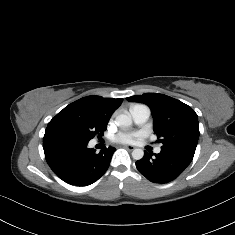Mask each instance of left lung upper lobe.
Wrapping results in <instances>:
<instances>
[{
    "mask_svg": "<svg viewBox=\"0 0 235 235\" xmlns=\"http://www.w3.org/2000/svg\"><path fill=\"white\" fill-rule=\"evenodd\" d=\"M147 104L154 119V132L164 149L180 150L194 156L199 139L198 116L183 102L158 93L127 98Z\"/></svg>",
    "mask_w": 235,
    "mask_h": 235,
    "instance_id": "left-lung-upper-lobe-1",
    "label": "left lung upper lobe"
}]
</instances>
